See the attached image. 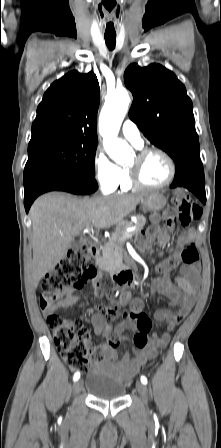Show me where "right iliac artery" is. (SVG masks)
Wrapping results in <instances>:
<instances>
[{
  "label": "right iliac artery",
  "mask_w": 221,
  "mask_h": 448,
  "mask_svg": "<svg viewBox=\"0 0 221 448\" xmlns=\"http://www.w3.org/2000/svg\"><path fill=\"white\" fill-rule=\"evenodd\" d=\"M79 378H80V373H79V372H76V373L74 374V376H73V380H74V381H77Z\"/></svg>",
  "instance_id": "1"
}]
</instances>
